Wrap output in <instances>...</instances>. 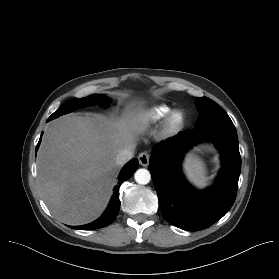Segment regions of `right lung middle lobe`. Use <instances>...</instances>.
<instances>
[{"instance_id":"dd1d6c3e","label":"right lung middle lobe","mask_w":279,"mask_h":279,"mask_svg":"<svg viewBox=\"0 0 279 279\" xmlns=\"http://www.w3.org/2000/svg\"><path fill=\"white\" fill-rule=\"evenodd\" d=\"M101 103L106 104V99H104L101 95H93L91 100H88L87 97L78 99L74 98L63 104L55 113H53L48 120H52L54 118H57L65 113H68L72 111L73 109H77L80 106H84L91 103Z\"/></svg>"}]
</instances>
